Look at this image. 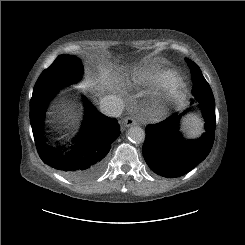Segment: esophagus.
I'll return each instance as SVG.
<instances>
[{"label":"esophagus","mask_w":245,"mask_h":245,"mask_svg":"<svg viewBox=\"0 0 245 245\" xmlns=\"http://www.w3.org/2000/svg\"><path fill=\"white\" fill-rule=\"evenodd\" d=\"M123 124L125 127H131L136 124V121L133 118L127 117L124 119Z\"/></svg>","instance_id":"1"}]
</instances>
